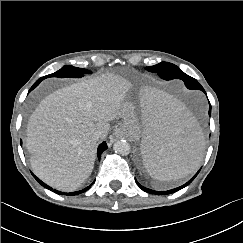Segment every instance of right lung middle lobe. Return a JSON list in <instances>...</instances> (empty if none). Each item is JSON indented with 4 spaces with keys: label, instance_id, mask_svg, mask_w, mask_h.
Returning <instances> with one entry per match:
<instances>
[{
    "label": "right lung middle lobe",
    "instance_id": "obj_1",
    "mask_svg": "<svg viewBox=\"0 0 243 243\" xmlns=\"http://www.w3.org/2000/svg\"><path fill=\"white\" fill-rule=\"evenodd\" d=\"M89 73L88 70L81 69V68H76L70 65H66L57 72L44 76L41 78V80L48 78V77H59V78H64V77H72V78H80L83 76V74Z\"/></svg>",
    "mask_w": 243,
    "mask_h": 243
}]
</instances>
